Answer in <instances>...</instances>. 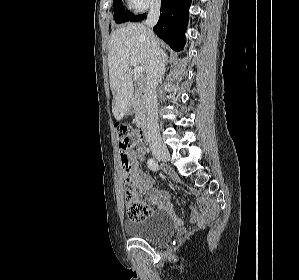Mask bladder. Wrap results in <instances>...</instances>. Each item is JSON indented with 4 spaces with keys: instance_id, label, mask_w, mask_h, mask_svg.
<instances>
[{
    "instance_id": "bladder-1",
    "label": "bladder",
    "mask_w": 299,
    "mask_h": 280,
    "mask_svg": "<svg viewBox=\"0 0 299 280\" xmlns=\"http://www.w3.org/2000/svg\"><path fill=\"white\" fill-rule=\"evenodd\" d=\"M175 229V222L165 211H156L140 221H126L124 230L132 238L150 243H161L170 238Z\"/></svg>"
}]
</instances>
